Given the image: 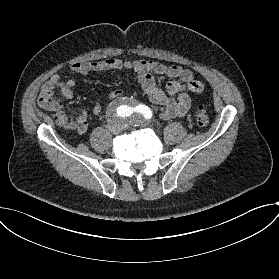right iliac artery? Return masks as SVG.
I'll return each mask as SVG.
<instances>
[{
	"mask_svg": "<svg viewBox=\"0 0 279 279\" xmlns=\"http://www.w3.org/2000/svg\"><path fill=\"white\" fill-rule=\"evenodd\" d=\"M128 115V110L125 107L114 108L111 111V116L114 119L125 118Z\"/></svg>",
	"mask_w": 279,
	"mask_h": 279,
	"instance_id": "right-iliac-artery-1",
	"label": "right iliac artery"
}]
</instances>
